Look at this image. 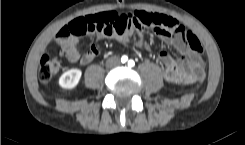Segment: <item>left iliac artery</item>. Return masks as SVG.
Here are the masks:
<instances>
[{"mask_svg":"<svg viewBox=\"0 0 245 145\" xmlns=\"http://www.w3.org/2000/svg\"><path fill=\"white\" fill-rule=\"evenodd\" d=\"M135 65V62L133 60L128 61V66L133 67Z\"/></svg>","mask_w":245,"mask_h":145,"instance_id":"44dca946","label":"left iliac artery"}]
</instances>
